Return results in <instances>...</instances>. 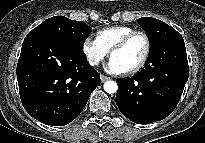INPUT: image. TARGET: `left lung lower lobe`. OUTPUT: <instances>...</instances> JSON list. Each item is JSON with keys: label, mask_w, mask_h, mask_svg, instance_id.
Wrapping results in <instances>:
<instances>
[{"label": "left lung lower lobe", "mask_w": 205, "mask_h": 143, "mask_svg": "<svg viewBox=\"0 0 205 143\" xmlns=\"http://www.w3.org/2000/svg\"><path fill=\"white\" fill-rule=\"evenodd\" d=\"M152 56V67L132 78L116 80V104L125 117L138 124L160 121L171 114L188 80L186 48L180 33L166 38Z\"/></svg>", "instance_id": "obj_1"}]
</instances>
